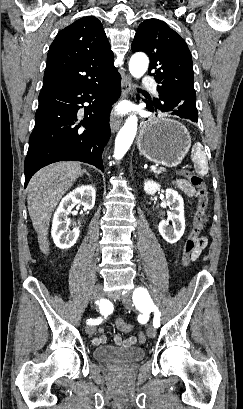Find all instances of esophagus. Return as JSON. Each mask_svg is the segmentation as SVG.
I'll use <instances>...</instances> for the list:
<instances>
[{
    "label": "esophagus",
    "instance_id": "obj_1",
    "mask_svg": "<svg viewBox=\"0 0 243 409\" xmlns=\"http://www.w3.org/2000/svg\"><path fill=\"white\" fill-rule=\"evenodd\" d=\"M131 90H132V80H131V77L129 75H126L122 80L121 99L127 98L131 94ZM121 123H122V120L119 117V115L114 113L111 116V119H110L111 131L116 132L120 128Z\"/></svg>",
    "mask_w": 243,
    "mask_h": 409
}]
</instances>
